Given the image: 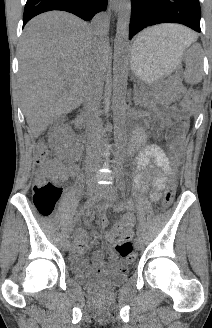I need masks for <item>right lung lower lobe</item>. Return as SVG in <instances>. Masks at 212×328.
Returning <instances> with one entry per match:
<instances>
[{
    "mask_svg": "<svg viewBox=\"0 0 212 328\" xmlns=\"http://www.w3.org/2000/svg\"><path fill=\"white\" fill-rule=\"evenodd\" d=\"M106 6L107 0H27L23 26L34 16L51 10L67 11L89 21Z\"/></svg>",
    "mask_w": 212,
    "mask_h": 328,
    "instance_id": "right-lung-lower-lobe-1",
    "label": "right lung lower lobe"
}]
</instances>
